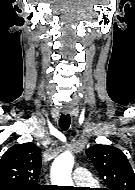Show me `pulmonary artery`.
Masks as SVG:
<instances>
[{
  "label": "pulmonary artery",
  "instance_id": "e3ab8cb5",
  "mask_svg": "<svg viewBox=\"0 0 135 190\" xmlns=\"http://www.w3.org/2000/svg\"><path fill=\"white\" fill-rule=\"evenodd\" d=\"M73 179L77 185L87 186L93 183L90 173L82 167L76 168L73 172Z\"/></svg>",
  "mask_w": 135,
  "mask_h": 190
}]
</instances>
